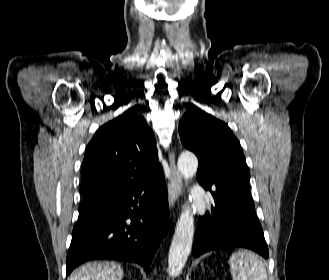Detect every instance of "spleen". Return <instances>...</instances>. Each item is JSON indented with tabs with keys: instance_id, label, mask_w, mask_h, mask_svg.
Listing matches in <instances>:
<instances>
[{
	"instance_id": "3e777b00",
	"label": "spleen",
	"mask_w": 329,
	"mask_h": 280,
	"mask_svg": "<svg viewBox=\"0 0 329 280\" xmlns=\"http://www.w3.org/2000/svg\"><path fill=\"white\" fill-rule=\"evenodd\" d=\"M233 280H267V271L262 261L252 252L238 251L229 259Z\"/></svg>"
}]
</instances>
